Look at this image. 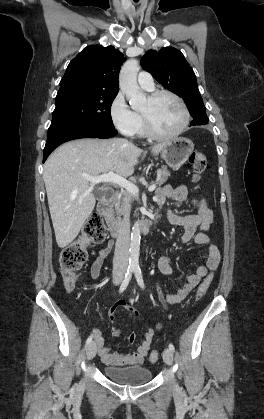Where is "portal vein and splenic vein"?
Wrapping results in <instances>:
<instances>
[{"label":"portal vein and splenic vein","instance_id":"18ae733b","mask_svg":"<svg viewBox=\"0 0 264 419\" xmlns=\"http://www.w3.org/2000/svg\"><path fill=\"white\" fill-rule=\"evenodd\" d=\"M83 177L90 181L91 187H93L95 184L107 182L117 184L120 187L125 188L127 192L131 194L137 195L139 193V189L135 184L128 181L126 178L113 173L112 171L108 172L107 174H102L95 177L89 175H83ZM155 188L156 185L152 184L151 186H149L148 191L152 192L155 190Z\"/></svg>","mask_w":264,"mask_h":419}]
</instances>
